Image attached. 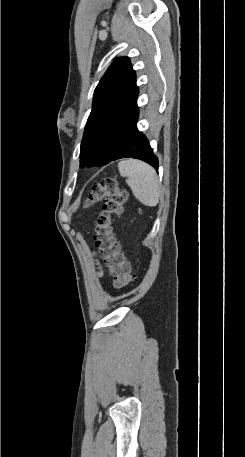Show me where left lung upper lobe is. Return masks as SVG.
<instances>
[{"instance_id": "1", "label": "left lung upper lobe", "mask_w": 245, "mask_h": 457, "mask_svg": "<svg viewBox=\"0 0 245 457\" xmlns=\"http://www.w3.org/2000/svg\"><path fill=\"white\" fill-rule=\"evenodd\" d=\"M138 92L135 71L129 59L122 57L114 60L95 89L83 138L97 126L110 122L122 113L137 111Z\"/></svg>"}]
</instances>
